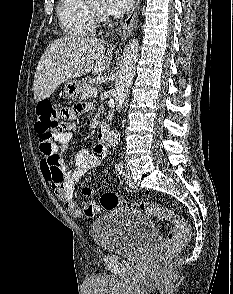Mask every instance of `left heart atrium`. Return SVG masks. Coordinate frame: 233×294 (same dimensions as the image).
<instances>
[{
    "mask_svg": "<svg viewBox=\"0 0 233 294\" xmlns=\"http://www.w3.org/2000/svg\"><path fill=\"white\" fill-rule=\"evenodd\" d=\"M133 0H108L107 11L111 15L126 12L132 5Z\"/></svg>",
    "mask_w": 233,
    "mask_h": 294,
    "instance_id": "1",
    "label": "left heart atrium"
}]
</instances>
